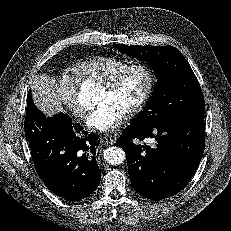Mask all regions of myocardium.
Masks as SVG:
<instances>
[{"instance_id":"myocardium-1","label":"myocardium","mask_w":231,"mask_h":231,"mask_svg":"<svg viewBox=\"0 0 231 231\" xmlns=\"http://www.w3.org/2000/svg\"><path fill=\"white\" fill-rule=\"evenodd\" d=\"M133 70H141L144 72L146 76V85L138 100L124 113L125 117L134 116L149 100L155 85V75L152 69L148 65L141 62L129 64L128 66L115 73L105 83L101 84V88L103 90L107 92H113L118 87L122 79Z\"/></svg>"}]
</instances>
